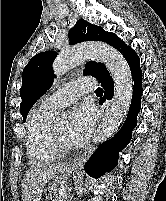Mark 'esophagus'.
<instances>
[{"instance_id": "34e87169", "label": "esophagus", "mask_w": 166, "mask_h": 201, "mask_svg": "<svg viewBox=\"0 0 166 201\" xmlns=\"http://www.w3.org/2000/svg\"><path fill=\"white\" fill-rule=\"evenodd\" d=\"M111 106V100H106L101 106H100V110H101V115L102 117H104L109 108ZM95 147L94 146H90L78 159L73 161V164L75 165H80L82 164L84 161H86L91 154L94 152Z\"/></svg>"}]
</instances>
